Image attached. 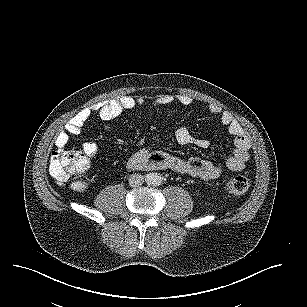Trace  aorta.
<instances>
[{"label":"aorta","instance_id":"aorta-1","mask_svg":"<svg viewBox=\"0 0 307 307\" xmlns=\"http://www.w3.org/2000/svg\"><path fill=\"white\" fill-rule=\"evenodd\" d=\"M151 185H160L163 182V177L160 173H153L148 177Z\"/></svg>","mask_w":307,"mask_h":307}]
</instances>
